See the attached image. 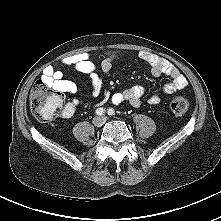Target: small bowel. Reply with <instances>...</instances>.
<instances>
[{
    "mask_svg": "<svg viewBox=\"0 0 221 221\" xmlns=\"http://www.w3.org/2000/svg\"><path fill=\"white\" fill-rule=\"evenodd\" d=\"M139 59L146 62L150 66L151 74L155 77L167 75L171 81L164 87V91L171 94L175 91L184 89L188 81L179 69L171 62L147 51L138 53ZM113 58L104 59L100 66L97 67L88 59V54L79 53L62 58L57 64L46 67L41 77V83L48 85L54 90L74 95L77 93V85L74 81L66 79L59 67H72L80 74L88 76L91 83L90 97L97 99L100 97L103 87V75L112 74ZM146 90L141 86H132L123 91L116 92L112 95L111 101L119 104L123 101L129 102L132 106L138 107L141 104V98L145 95ZM160 97L153 93L149 97V103L158 104ZM81 99L74 97L69 100L62 112L63 117L70 118L75 113L76 107L81 104Z\"/></svg>",
    "mask_w": 221,
    "mask_h": 221,
    "instance_id": "c3829d8e",
    "label": "small bowel"
}]
</instances>
